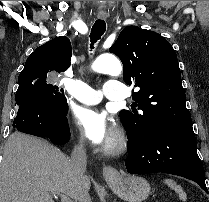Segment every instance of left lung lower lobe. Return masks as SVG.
Masks as SVG:
<instances>
[{
	"instance_id": "left-lung-lower-lobe-1",
	"label": "left lung lower lobe",
	"mask_w": 209,
	"mask_h": 202,
	"mask_svg": "<svg viewBox=\"0 0 209 202\" xmlns=\"http://www.w3.org/2000/svg\"><path fill=\"white\" fill-rule=\"evenodd\" d=\"M130 174L168 173L195 181L208 193L192 123L172 125L147 139L128 137Z\"/></svg>"
}]
</instances>
